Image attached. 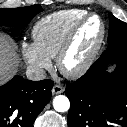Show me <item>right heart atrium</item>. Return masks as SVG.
<instances>
[{"label": "right heart atrium", "mask_w": 127, "mask_h": 127, "mask_svg": "<svg viewBox=\"0 0 127 127\" xmlns=\"http://www.w3.org/2000/svg\"><path fill=\"white\" fill-rule=\"evenodd\" d=\"M21 52L28 68L34 74L42 75L51 67V60L41 53L35 43L22 42Z\"/></svg>", "instance_id": "right-heart-atrium-1"}]
</instances>
